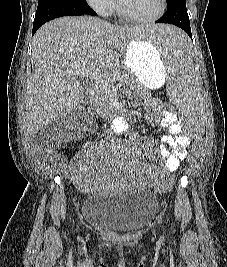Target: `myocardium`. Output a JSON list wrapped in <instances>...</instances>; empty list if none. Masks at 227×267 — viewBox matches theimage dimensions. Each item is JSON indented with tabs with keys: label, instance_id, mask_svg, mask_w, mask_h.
Wrapping results in <instances>:
<instances>
[{
	"label": "myocardium",
	"instance_id": "obj_1",
	"mask_svg": "<svg viewBox=\"0 0 227 267\" xmlns=\"http://www.w3.org/2000/svg\"><path fill=\"white\" fill-rule=\"evenodd\" d=\"M166 7H167V1L166 0H160V7H159L158 12L155 15H153L152 17H149V18H138V17H135V16L127 13L123 7L122 1L117 0V12H118L119 16L121 18H123L124 20L131 22V23H138V24L153 23L163 16V14L166 11Z\"/></svg>",
	"mask_w": 227,
	"mask_h": 267
}]
</instances>
